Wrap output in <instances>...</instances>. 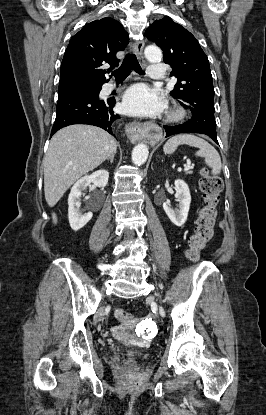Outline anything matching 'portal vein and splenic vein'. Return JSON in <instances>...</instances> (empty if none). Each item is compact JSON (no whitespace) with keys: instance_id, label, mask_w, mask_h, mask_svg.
I'll list each match as a JSON object with an SVG mask.
<instances>
[{"instance_id":"obj_1","label":"portal vein and splenic vein","mask_w":266,"mask_h":415,"mask_svg":"<svg viewBox=\"0 0 266 415\" xmlns=\"http://www.w3.org/2000/svg\"><path fill=\"white\" fill-rule=\"evenodd\" d=\"M192 167L190 166V163L188 162L185 166H184V171H188L190 170Z\"/></svg>"}]
</instances>
